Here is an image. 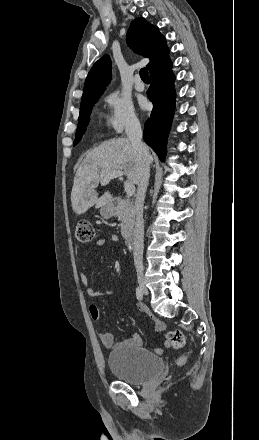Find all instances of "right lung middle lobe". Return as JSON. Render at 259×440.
I'll list each match as a JSON object with an SVG mask.
<instances>
[{
  "label": "right lung middle lobe",
  "mask_w": 259,
  "mask_h": 440,
  "mask_svg": "<svg viewBox=\"0 0 259 440\" xmlns=\"http://www.w3.org/2000/svg\"><path fill=\"white\" fill-rule=\"evenodd\" d=\"M97 100L98 99H94V100H90V101H86V102L81 103L80 115L78 118V127H77L76 137H75L73 146H75L81 140V137L84 134L86 127L89 123L90 112L92 110L94 103Z\"/></svg>",
  "instance_id": "dd1d6c3e"
}]
</instances>
